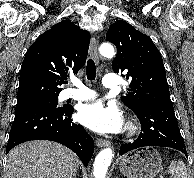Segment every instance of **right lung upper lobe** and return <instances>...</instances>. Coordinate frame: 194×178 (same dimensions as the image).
I'll return each instance as SVG.
<instances>
[{
    "mask_svg": "<svg viewBox=\"0 0 194 178\" xmlns=\"http://www.w3.org/2000/svg\"><path fill=\"white\" fill-rule=\"evenodd\" d=\"M89 42L90 33L70 21L40 35L23 60L17 104L58 97V86L85 64Z\"/></svg>",
    "mask_w": 194,
    "mask_h": 178,
    "instance_id": "1",
    "label": "right lung upper lobe"
}]
</instances>
